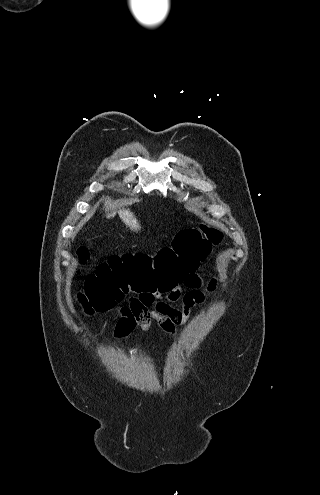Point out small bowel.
<instances>
[{
  "label": "small bowel",
  "instance_id": "c3829d8e",
  "mask_svg": "<svg viewBox=\"0 0 320 495\" xmlns=\"http://www.w3.org/2000/svg\"><path fill=\"white\" fill-rule=\"evenodd\" d=\"M203 281L195 272H188L182 281L167 291L143 292L129 300L127 306L120 309L115 325V335L124 337L137 326L148 331L151 321L155 320L165 332L173 334L177 326L184 324L192 309L205 301V293L201 290ZM181 285L189 288L182 293ZM164 293V294H163ZM181 301V307L173 304Z\"/></svg>",
  "mask_w": 320,
  "mask_h": 495
}]
</instances>
